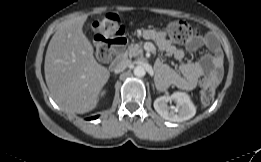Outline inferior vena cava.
<instances>
[{"mask_svg":"<svg viewBox=\"0 0 261 162\" xmlns=\"http://www.w3.org/2000/svg\"><path fill=\"white\" fill-rule=\"evenodd\" d=\"M130 63L131 61L129 59H121L114 65L113 70L115 73H120L124 71L130 65Z\"/></svg>","mask_w":261,"mask_h":162,"instance_id":"602c4592","label":"inferior vena cava"}]
</instances>
